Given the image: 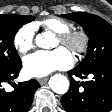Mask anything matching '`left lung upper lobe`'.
Listing matches in <instances>:
<instances>
[{
    "instance_id": "obj_1",
    "label": "left lung upper lobe",
    "mask_w": 112,
    "mask_h": 112,
    "mask_svg": "<svg viewBox=\"0 0 112 112\" xmlns=\"http://www.w3.org/2000/svg\"><path fill=\"white\" fill-rule=\"evenodd\" d=\"M63 17L80 24L89 38L87 55L78 69L87 70L112 62V26L107 21L85 12L64 14Z\"/></svg>"
}]
</instances>
